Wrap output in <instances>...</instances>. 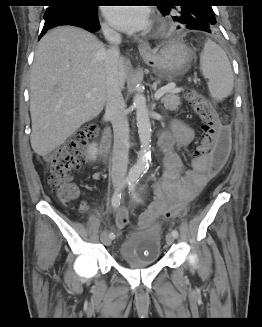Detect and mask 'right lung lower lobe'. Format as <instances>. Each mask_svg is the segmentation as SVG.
<instances>
[{
    "mask_svg": "<svg viewBox=\"0 0 262 327\" xmlns=\"http://www.w3.org/2000/svg\"><path fill=\"white\" fill-rule=\"evenodd\" d=\"M44 27L39 39L51 28L61 25H72L81 27L89 32L99 30L98 8L81 7L72 2H60L49 6L44 14Z\"/></svg>",
    "mask_w": 262,
    "mask_h": 327,
    "instance_id": "right-lung-lower-lobe-1",
    "label": "right lung lower lobe"
}]
</instances>
